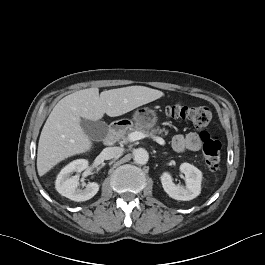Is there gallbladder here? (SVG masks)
Instances as JSON below:
<instances>
[{"label":"gallbladder","instance_id":"bac80fb5","mask_svg":"<svg viewBox=\"0 0 265 265\" xmlns=\"http://www.w3.org/2000/svg\"><path fill=\"white\" fill-rule=\"evenodd\" d=\"M81 126L91 140H102L108 133V125L103 121L82 119Z\"/></svg>","mask_w":265,"mask_h":265}]
</instances>
